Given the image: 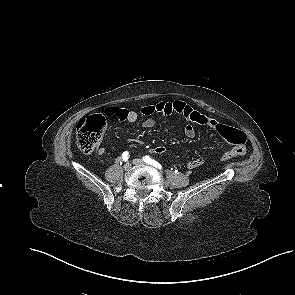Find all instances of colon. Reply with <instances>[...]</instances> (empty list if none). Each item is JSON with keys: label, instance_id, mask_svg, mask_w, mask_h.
<instances>
[{"label": "colon", "instance_id": "obj_1", "mask_svg": "<svg viewBox=\"0 0 295 295\" xmlns=\"http://www.w3.org/2000/svg\"><path fill=\"white\" fill-rule=\"evenodd\" d=\"M104 128L105 119L99 114L82 118L78 122L76 130V141L79 149L84 153H91L97 147ZM221 133L222 136L232 144V149L222 155L223 160H229L245 154L246 136L241 130L223 126L221 128ZM153 151L160 154L164 152V148L156 147Z\"/></svg>", "mask_w": 295, "mask_h": 295}]
</instances>
